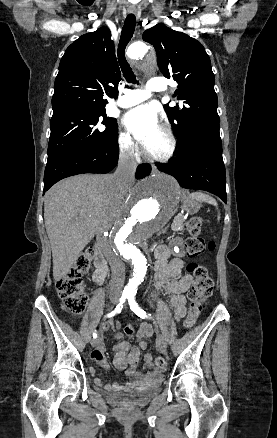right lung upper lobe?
Returning <instances> with one entry per match:
<instances>
[{"instance_id":"cb5924a9","label":"right lung upper lobe","mask_w":277,"mask_h":438,"mask_svg":"<svg viewBox=\"0 0 277 438\" xmlns=\"http://www.w3.org/2000/svg\"><path fill=\"white\" fill-rule=\"evenodd\" d=\"M120 75L110 30L102 27L82 35L60 61L52 98L53 116L106 112L108 101L103 96L117 97Z\"/></svg>"}]
</instances>
